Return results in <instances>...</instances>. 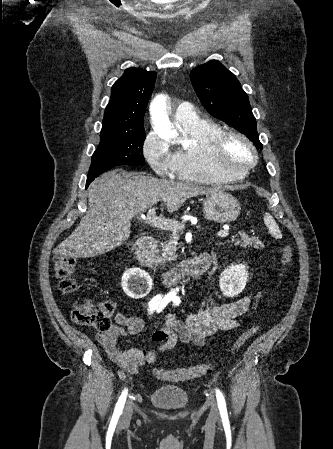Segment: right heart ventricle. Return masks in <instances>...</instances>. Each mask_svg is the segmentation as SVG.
Returning a JSON list of instances; mask_svg holds the SVG:
<instances>
[{
	"label": "right heart ventricle",
	"mask_w": 333,
	"mask_h": 449,
	"mask_svg": "<svg viewBox=\"0 0 333 449\" xmlns=\"http://www.w3.org/2000/svg\"><path fill=\"white\" fill-rule=\"evenodd\" d=\"M179 130L187 139L186 146H179L174 152V176L180 180L194 183H220L234 181L215 174L207 160L206 142L222 128L210 120L198 119L189 124H178Z\"/></svg>",
	"instance_id": "right-heart-ventricle-1"
}]
</instances>
